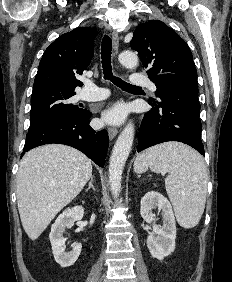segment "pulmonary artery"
Segmentation results:
<instances>
[{"mask_svg":"<svg viewBox=\"0 0 232 282\" xmlns=\"http://www.w3.org/2000/svg\"><path fill=\"white\" fill-rule=\"evenodd\" d=\"M131 84L135 86H147L150 90L156 91L157 88L150 79L142 74L135 73L131 77ZM108 96V91L104 88L96 86L92 82H87L85 88L81 93V98L87 101H99L103 100Z\"/></svg>","mask_w":232,"mask_h":282,"instance_id":"pulmonary-artery-1","label":"pulmonary artery"}]
</instances>
